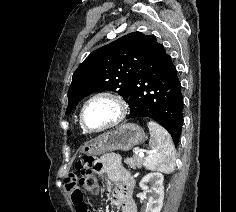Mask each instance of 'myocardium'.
<instances>
[{
    "label": "myocardium",
    "mask_w": 236,
    "mask_h": 212,
    "mask_svg": "<svg viewBox=\"0 0 236 212\" xmlns=\"http://www.w3.org/2000/svg\"><path fill=\"white\" fill-rule=\"evenodd\" d=\"M99 99H106V100L112 102L116 107V115L110 122H108L104 126L97 128V129H91L85 125L84 113H85V110L89 104H91L92 102L99 100ZM126 114H127V104H126L125 100L120 95H118L117 93L111 92V91H100V92H97V93L91 95L83 103V105L80 109V113H79V122H80L82 129L86 133H100V132H104L106 130H109L111 128L118 126L124 120V118L126 117Z\"/></svg>",
    "instance_id": "myocardium-1"
}]
</instances>
